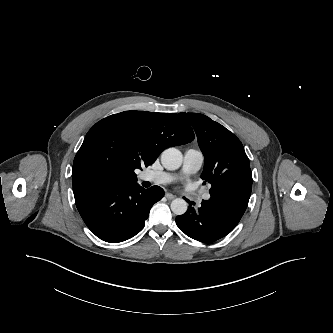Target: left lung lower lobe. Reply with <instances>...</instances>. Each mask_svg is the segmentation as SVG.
<instances>
[{"mask_svg": "<svg viewBox=\"0 0 333 333\" xmlns=\"http://www.w3.org/2000/svg\"><path fill=\"white\" fill-rule=\"evenodd\" d=\"M252 188L250 168L221 178L217 190L210 191L211 198L202 201L194 209V202L188 210L176 217L177 226L189 237L200 242L211 243L229 234L239 223L249 202Z\"/></svg>", "mask_w": 333, "mask_h": 333, "instance_id": "obj_1", "label": "left lung lower lobe"}]
</instances>
